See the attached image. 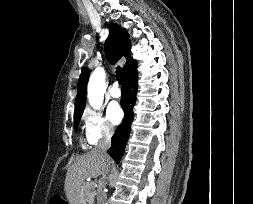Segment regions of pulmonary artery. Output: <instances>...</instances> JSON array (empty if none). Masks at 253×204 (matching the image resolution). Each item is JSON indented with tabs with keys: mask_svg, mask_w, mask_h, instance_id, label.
<instances>
[{
	"mask_svg": "<svg viewBox=\"0 0 253 204\" xmlns=\"http://www.w3.org/2000/svg\"><path fill=\"white\" fill-rule=\"evenodd\" d=\"M110 95L114 98H118L121 96V90L117 83H114L110 88Z\"/></svg>",
	"mask_w": 253,
	"mask_h": 204,
	"instance_id": "e3ab8cb5",
	"label": "pulmonary artery"
}]
</instances>
